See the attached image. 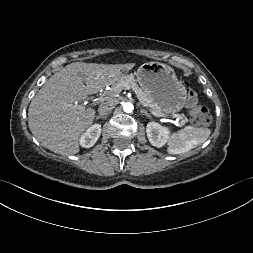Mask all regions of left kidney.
Instances as JSON below:
<instances>
[{"label": "left kidney", "instance_id": "1", "mask_svg": "<svg viewBox=\"0 0 253 253\" xmlns=\"http://www.w3.org/2000/svg\"><path fill=\"white\" fill-rule=\"evenodd\" d=\"M149 142L156 147L164 146L169 139V131L166 127L156 122H149L146 127Z\"/></svg>", "mask_w": 253, "mask_h": 253}]
</instances>
